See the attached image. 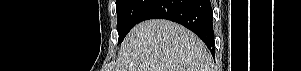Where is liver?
<instances>
[{"label":"liver","instance_id":"6515ba94","mask_svg":"<svg viewBox=\"0 0 301 71\" xmlns=\"http://www.w3.org/2000/svg\"><path fill=\"white\" fill-rule=\"evenodd\" d=\"M116 71H212V58L193 32L153 19L129 32L121 44Z\"/></svg>","mask_w":301,"mask_h":71}]
</instances>
